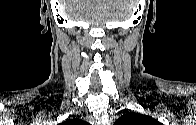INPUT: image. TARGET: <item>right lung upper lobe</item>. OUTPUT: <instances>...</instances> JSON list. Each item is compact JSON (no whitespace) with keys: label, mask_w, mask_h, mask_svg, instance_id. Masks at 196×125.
<instances>
[{"label":"right lung upper lobe","mask_w":196,"mask_h":125,"mask_svg":"<svg viewBox=\"0 0 196 125\" xmlns=\"http://www.w3.org/2000/svg\"><path fill=\"white\" fill-rule=\"evenodd\" d=\"M69 122H72V120H66L64 123L67 124Z\"/></svg>","instance_id":"right-lung-upper-lobe-1"}]
</instances>
